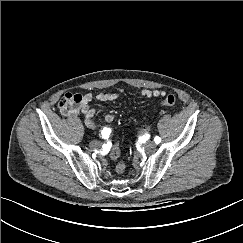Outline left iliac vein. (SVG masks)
Returning a JSON list of instances; mask_svg holds the SVG:
<instances>
[{"label":"left iliac vein","instance_id":"obj_1","mask_svg":"<svg viewBox=\"0 0 243 243\" xmlns=\"http://www.w3.org/2000/svg\"><path fill=\"white\" fill-rule=\"evenodd\" d=\"M145 149L150 151L152 149H154L156 147V144L154 142H147L145 145H144Z\"/></svg>","mask_w":243,"mask_h":243}]
</instances>
